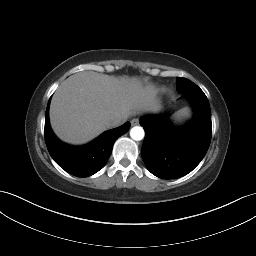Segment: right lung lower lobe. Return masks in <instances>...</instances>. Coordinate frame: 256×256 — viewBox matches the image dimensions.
<instances>
[{
    "label": "right lung lower lobe",
    "instance_id": "98d812e1",
    "mask_svg": "<svg viewBox=\"0 0 256 256\" xmlns=\"http://www.w3.org/2000/svg\"><path fill=\"white\" fill-rule=\"evenodd\" d=\"M49 103L45 113V142L54 161L68 173L87 177L98 172L107 162L116 139L126 133L130 122L104 132L91 143L75 147L61 142L53 134L49 124Z\"/></svg>",
    "mask_w": 256,
    "mask_h": 256
}]
</instances>
